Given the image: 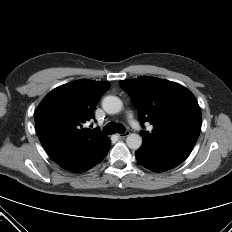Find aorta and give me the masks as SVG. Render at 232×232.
Segmentation results:
<instances>
[{"instance_id":"obj_1","label":"aorta","mask_w":232,"mask_h":232,"mask_svg":"<svg viewBox=\"0 0 232 232\" xmlns=\"http://www.w3.org/2000/svg\"><path fill=\"white\" fill-rule=\"evenodd\" d=\"M122 101L116 96H106L102 101V108L108 114H116L122 109ZM126 144L130 149L137 150L142 145V137L139 134H129L126 138Z\"/></svg>"}]
</instances>
